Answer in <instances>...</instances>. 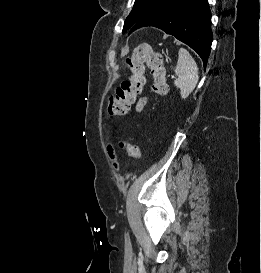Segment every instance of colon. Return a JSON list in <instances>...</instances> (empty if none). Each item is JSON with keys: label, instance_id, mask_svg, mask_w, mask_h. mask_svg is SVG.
Here are the masks:
<instances>
[{"label": "colon", "instance_id": "1", "mask_svg": "<svg viewBox=\"0 0 261 273\" xmlns=\"http://www.w3.org/2000/svg\"><path fill=\"white\" fill-rule=\"evenodd\" d=\"M125 65L129 71L127 79L122 81L116 93L111 96L107 104V114L110 117L125 115L136 97L141 94L146 84V69L150 70L153 78V92L156 95L166 93L165 68L163 56L154 50L150 44H140L126 58ZM119 147L126 149L128 155L138 159L141 157L140 148L132 143L119 141Z\"/></svg>", "mask_w": 261, "mask_h": 273}]
</instances>
